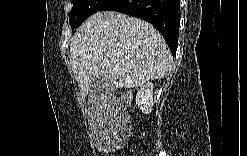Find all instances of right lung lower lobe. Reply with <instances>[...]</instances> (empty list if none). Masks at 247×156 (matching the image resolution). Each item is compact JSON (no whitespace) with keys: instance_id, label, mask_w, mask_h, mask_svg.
Wrapping results in <instances>:
<instances>
[{"instance_id":"right-lung-lower-lobe-1","label":"right lung lower lobe","mask_w":247,"mask_h":156,"mask_svg":"<svg viewBox=\"0 0 247 156\" xmlns=\"http://www.w3.org/2000/svg\"><path fill=\"white\" fill-rule=\"evenodd\" d=\"M179 0H108L99 11L111 10L150 22L164 37L172 54L178 46Z\"/></svg>"}]
</instances>
